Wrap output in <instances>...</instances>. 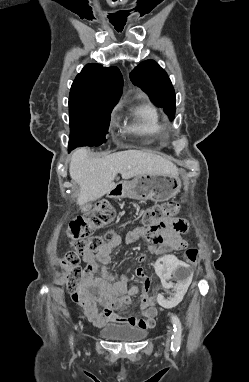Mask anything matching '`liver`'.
I'll return each instance as SVG.
<instances>
[{
	"label": "liver",
	"instance_id": "6515ba94",
	"mask_svg": "<svg viewBox=\"0 0 249 382\" xmlns=\"http://www.w3.org/2000/svg\"><path fill=\"white\" fill-rule=\"evenodd\" d=\"M69 173L80 186L77 203L83 205L110 193L116 186L114 179L118 173L125 180L143 174L176 176L178 168L150 151L127 150L93 158L83 147L72 154Z\"/></svg>",
	"mask_w": 249,
	"mask_h": 382
}]
</instances>
